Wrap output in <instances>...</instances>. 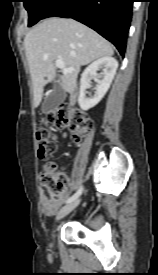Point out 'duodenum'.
<instances>
[{
    "label": "duodenum",
    "instance_id": "1",
    "mask_svg": "<svg viewBox=\"0 0 158 275\" xmlns=\"http://www.w3.org/2000/svg\"><path fill=\"white\" fill-rule=\"evenodd\" d=\"M76 99H77L76 94H72L71 97H70V101L72 103H74V102H76Z\"/></svg>",
    "mask_w": 158,
    "mask_h": 275
}]
</instances>
